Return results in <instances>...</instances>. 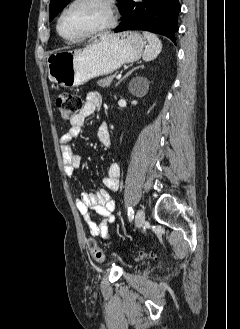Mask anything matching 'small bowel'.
I'll return each mask as SVG.
<instances>
[{
    "label": "small bowel",
    "mask_w": 240,
    "mask_h": 329,
    "mask_svg": "<svg viewBox=\"0 0 240 329\" xmlns=\"http://www.w3.org/2000/svg\"><path fill=\"white\" fill-rule=\"evenodd\" d=\"M103 105L102 97L97 92H90L86 96V101L80 112L70 122L69 130L61 137V150L63 158V168L68 177H73L75 171L80 166V158L72 152L71 142L79 137L86 120L99 110ZM97 137L100 144L109 147L111 137L108 125L100 124ZM120 167L116 163L108 165L106 174L102 178L104 188L96 192H82L76 202L79 213L89 227L90 234L94 237L109 238L108 226L114 222L115 202L110 198L109 191H117L119 188ZM96 214L101 218L99 223L93 219Z\"/></svg>",
    "instance_id": "obj_1"
}]
</instances>
